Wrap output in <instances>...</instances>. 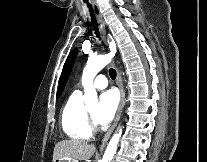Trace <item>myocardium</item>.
<instances>
[{
  "label": "myocardium",
  "instance_id": "f54148a6",
  "mask_svg": "<svg viewBox=\"0 0 207 162\" xmlns=\"http://www.w3.org/2000/svg\"><path fill=\"white\" fill-rule=\"evenodd\" d=\"M86 114H87V118H88L90 128L95 129L97 127V123H96L95 118L92 116V114L89 112V110H86Z\"/></svg>",
  "mask_w": 207,
  "mask_h": 162
}]
</instances>
